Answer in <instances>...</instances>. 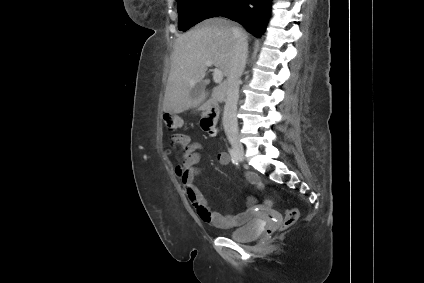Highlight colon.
Returning a JSON list of instances; mask_svg holds the SVG:
<instances>
[{
	"label": "colon",
	"mask_w": 424,
	"mask_h": 283,
	"mask_svg": "<svg viewBox=\"0 0 424 283\" xmlns=\"http://www.w3.org/2000/svg\"><path fill=\"white\" fill-rule=\"evenodd\" d=\"M163 122L165 124V127L170 131H174L180 128L182 125V120L180 116L176 114H172V113H166L163 116ZM297 218H298L297 209H294V208L287 209L285 212L283 223H282V228H288L292 226L297 221ZM272 233H273V230L267 231L268 235H272Z\"/></svg>",
	"instance_id": "1"
}]
</instances>
